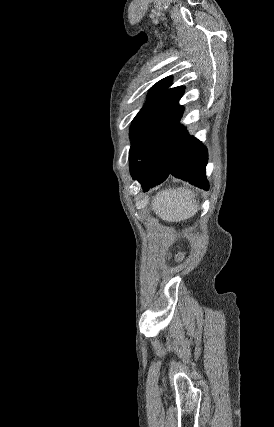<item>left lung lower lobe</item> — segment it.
<instances>
[{
  "label": "left lung lower lobe",
  "mask_w": 274,
  "mask_h": 427,
  "mask_svg": "<svg viewBox=\"0 0 274 427\" xmlns=\"http://www.w3.org/2000/svg\"><path fill=\"white\" fill-rule=\"evenodd\" d=\"M179 98L149 129L130 169L144 192L170 174L205 190L209 187L205 170L207 149L180 126L183 107L178 105Z\"/></svg>",
  "instance_id": "1"
}]
</instances>
